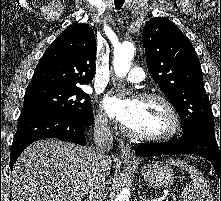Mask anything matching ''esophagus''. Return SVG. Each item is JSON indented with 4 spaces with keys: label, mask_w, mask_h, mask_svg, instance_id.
<instances>
[{
    "label": "esophagus",
    "mask_w": 221,
    "mask_h": 201,
    "mask_svg": "<svg viewBox=\"0 0 221 201\" xmlns=\"http://www.w3.org/2000/svg\"><path fill=\"white\" fill-rule=\"evenodd\" d=\"M120 159L123 162H135V158L131 152L129 144L123 142L121 143Z\"/></svg>",
    "instance_id": "34e87169"
}]
</instances>
